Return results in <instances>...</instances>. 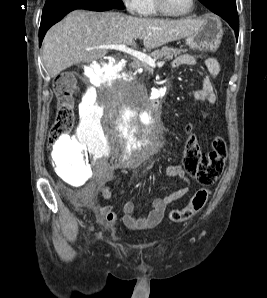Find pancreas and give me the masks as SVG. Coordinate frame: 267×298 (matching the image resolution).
I'll list each match as a JSON object with an SVG mask.
<instances>
[{
	"label": "pancreas",
	"mask_w": 267,
	"mask_h": 298,
	"mask_svg": "<svg viewBox=\"0 0 267 298\" xmlns=\"http://www.w3.org/2000/svg\"><path fill=\"white\" fill-rule=\"evenodd\" d=\"M184 51L185 50H183V49H177V48H173V47L164 46L161 49H158V50H155L154 52H152L150 54V56L155 60L161 59L163 57L167 60H170V59L173 58V56H177L181 52H184ZM131 66L134 69H138L139 67H143L146 70H149V71L151 70L150 67L146 63H144L140 60H137V59H134V62L131 64Z\"/></svg>",
	"instance_id": "obj_1"
}]
</instances>
